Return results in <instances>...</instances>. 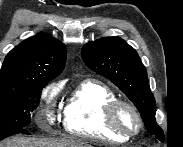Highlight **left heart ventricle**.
<instances>
[{
    "mask_svg": "<svg viewBox=\"0 0 183 147\" xmlns=\"http://www.w3.org/2000/svg\"><path fill=\"white\" fill-rule=\"evenodd\" d=\"M118 123L126 130L133 131L137 128V119L133 112L126 107H121L117 113Z\"/></svg>",
    "mask_w": 183,
    "mask_h": 147,
    "instance_id": "obj_1",
    "label": "left heart ventricle"
}]
</instances>
